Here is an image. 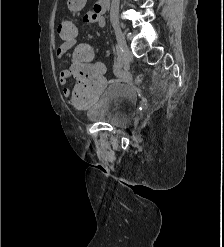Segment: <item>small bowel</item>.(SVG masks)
I'll list each match as a JSON object with an SVG mask.
<instances>
[{"instance_id":"c3829d8e","label":"small bowel","mask_w":224,"mask_h":247,"mask_svg":"<svg viewBox=\"0 0 224 247\" xmlns=\"http://www.w3.org/2000/svg\"><path fill=\"white\" fill-rule=\"evenodd\" d=\"M86 0H68V8L72 12L80 11ZM83 22L85 23H94L97 24L100 28L104 27L105 25V18L103 14L96 12L95 9L88 11L83 16ZM76 45V38L75 39H68V40H62V43L59 45V47L55 51V56L57 59H62L63 56L74 46ZM70 77V72L68 70H62L59 73V83L62 86H65L68 82V79ZM63 95L66 98L70 99L71 91L69 88L65 87L63 89Z\"/></svg>"}]
</instances>
